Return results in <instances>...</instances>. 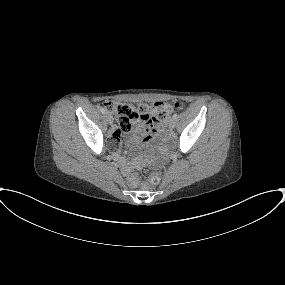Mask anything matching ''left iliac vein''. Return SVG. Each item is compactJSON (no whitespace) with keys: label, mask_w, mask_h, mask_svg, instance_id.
<instances>
[{"label":"left iliac vein","mask_w":285,"mask_h":285,"mask_svg":"<svg viewBox=\"0 0 285 285\" xmlns=\"http://www.w3.org/2000/svg\"><path fill=\"white\" fill-rule=\"evenodd\" d=\"M175 125H176V121H175V119H170V121H169V128L170 129H174L175 128Z\"/></svg>","instance_id":"4c4485c4"}]
</instances>
